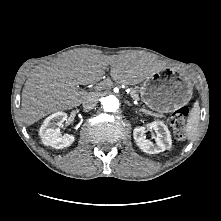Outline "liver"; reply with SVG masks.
I'll list each match as a JSON object with an SVG mask.
<instances>
[{
  "mask_svg": "<svg viewBox=\"0 0 221 221\" xmlns=\"http://www.w3.org/2000/svg\"><path fill=\"white\" fill-rule=\"evenodd\" d=\"M110 66L113 80L135 85L159 71L153 59L137 53L104 55L88 49L68 51L55 60L33 69L22 91V121L30 126L58 110L82 104L90 94L79 89L100 81Z\"/></svg>",
  "mask_w": 221,
  "mask_h": 221,
  "instance_id": "liver-1",
  "label": "liver"
}]
</instances>
